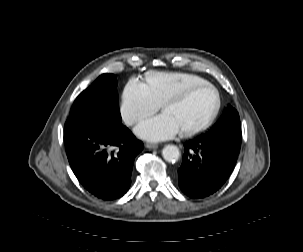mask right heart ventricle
<instances>
[{
    "label": "right heart ventricle",
    "instance_id": "e07e8e85",
    "mask_svg": "<svg viewBox=\"0 0 303 252\" xmlns=\"http://www.w3.org/2000/svg\"><path fill=\"white\" fill-rule=\"evenodd\" d=\"M201 81V78L190 74L155 73L146 80L145 85L151 99L161 106L168 100L181 96Z\"/></svg>",
    "mask_w": 303,
    "mask_h": 252
}]
</instances>
